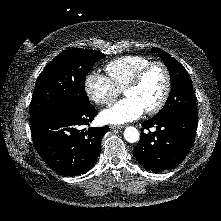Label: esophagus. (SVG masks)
Instances as JSON below:
<instances>
[{
    "instance_id": "obj_1",
    "label": "esophagus",
    "mask_w": 221,
    "mask_h": 221,
    "mask_svg": "<svg viewBox=\"0 0 221 221\" xmlns=\"http://www.w3.org/2000/svg\"><path fill=\"white\" fill-rule=\"evenodd\" d=\"M110 128L111 129H122V128H124V126H122V125H110Z\"/></svg>"
}]
</instances>
